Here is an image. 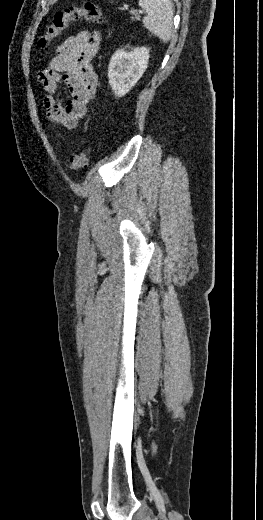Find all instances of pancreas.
I'll return each mask as SVG.
<instances>
[{
  "mask_svg": "<svg viewBox=\"0 0 263 520\" xmlns=\"http://www.w3.org/2000/svg\"><path fill=\"white\" fill-rule=\"evenodd\" d=\"M131 13L134 15V17L131 18L132 21L140 20V16L138 15L137 11L132 10Z\"/></svg>",
  "mask_w": 263,
  "mask_h": 520,
  "instance_id": "pancreas-1",
  "label": "pancreas"
}]
</instances>
